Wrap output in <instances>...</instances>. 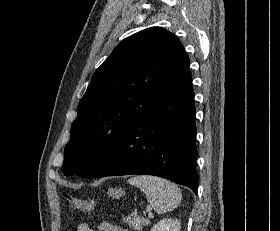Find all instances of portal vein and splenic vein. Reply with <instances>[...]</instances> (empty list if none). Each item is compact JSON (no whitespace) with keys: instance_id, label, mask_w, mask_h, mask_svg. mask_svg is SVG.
<instances>
[{"instance_id":"1","label":"portal vein and splenic vein","mask_w":280,"mask_h":231,"mask_svg":"<svg viewBox=\"0 0 280 231\" xmlns=\"http://www.w3.org/2000/svg\"><path fill=\"white\" fill-rule=\"evenodd\" d=\"M147 211H148L149 217H154L153 213H151V211H150V207H148Z\"/></svg>"}]
</instances>
